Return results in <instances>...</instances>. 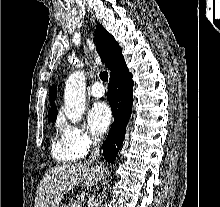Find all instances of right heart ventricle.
Masks as SVG:
<instances>
[{
	"instance_id": "right-heart-ventricle-1",
	"label": "right heart ventricle",
	"mask_w": 220,
	"mask_h": 207,
	"mask_svg": "<svg viewBox=\"0 0 220 207\" xmlns=\"http://www.w3.org/2000/svg\"><path fill=\"white\" fill-rule=\"evenodd\" d=\"M51 153L59 163H71L81 159L84 153L74 147L63 134L62 130L51 139Z\"/></svg>"
}]
</instances>
